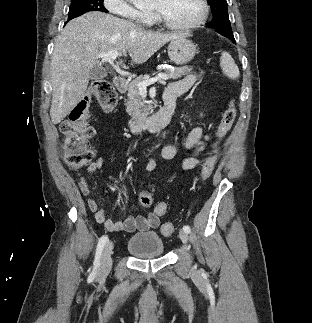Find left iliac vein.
<instances>
[{"label": "left iliac vein", "instance_id": "obj_1", "mask_svg": "<svg viewBox=\"0 0 312 323\" xmlns=\"http://www.w3.org/2000/svg\"><path fill=\"white\" fill-rule=\"evenodd\" d=\"M179 236H180V239H181V241H182L183 243H187V241H188V233H187L186 231L181 230V231L179 232Z\"/></svg>", "mask_w": 312, "mask_h": 323}]
</instances>
